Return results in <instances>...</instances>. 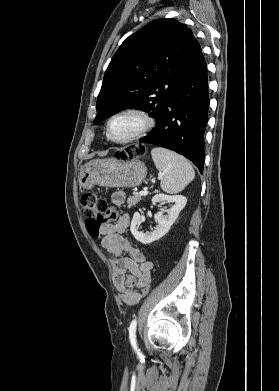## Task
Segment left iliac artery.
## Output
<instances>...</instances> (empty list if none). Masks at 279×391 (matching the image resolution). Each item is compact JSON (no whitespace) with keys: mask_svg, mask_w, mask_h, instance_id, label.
Here are the masks:
<instances>
[{"mask_svg":"<svg viewBox=\"0 0 279 391\" xmlns=\"http://www.w3.org/2000/svg\"><path fill=\"white\" fill-rule=\"evenodd\" d=\"M136 326H137V321L134 319L129 327V339L132 347L134 349H137V342H136Z\"/></svg>","mask_w":279,"mask_h":391,"instance_id":"left-iliac-artery-1","label":"left iliac artery"}]
</instances>
